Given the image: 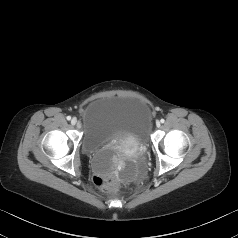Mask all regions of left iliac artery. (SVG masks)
<instances>
[{"instance_id":"obj_1","label":"left iliac artery","mask_w":238,"mask_h":238,"mask_svg":"<svg viewBox=\"0 0 238 238\" xmlns=\"http://www.w3.org/2000/svg\"><path fill=\"white\" fill-rule=\"evenodd\" d=\"M160 121H161V123H164V122H165V120H164V119H161Z\"/></svg>"}]
</instances>
